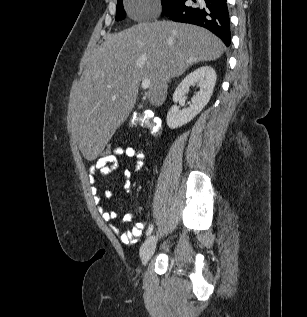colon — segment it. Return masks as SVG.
I'll return each mask as SVG.
<instances>
[{"label":"colon","mask_w":307,"mask_h":317,"mask_svg":"<svg viewBox=\"0 0 307 317\" xmlns=\"http://www.w3.org/2000/svg\"><path fill=\"white\" fill-rule=\"evenodd\" d=\"M129 128H134L136 126L142 127L148 134L153 135L158 132L160 124L154 120H146L143 117H133L129 121ZM119 147L112 144H106L99 154L100 160H109L116 156Z\"/></svg>","instance_id":"5ec220e1"}]
</instances>
